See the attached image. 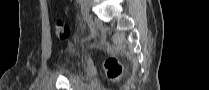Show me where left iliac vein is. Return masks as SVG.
Returning a JSON list of instances; mask_svg holds the SVG:
<instances>
[{
  "label": "left iliac vein",
  "mask_w": 209,
  "mask_h": 90,
  "mask_svg": "<svg viewBox=\"0 0 209 90\" xmlns=\"http://www.w3.org/2000/svg\"><path fill=\"white\" fill-rule=\"evenodd\" d=\"M91 4L90 0L82 1L81 12L84 18H88L90 16Z\"/></svg>",
  "instance_id": "left-iliac-vein-1"
}]
</instances>
